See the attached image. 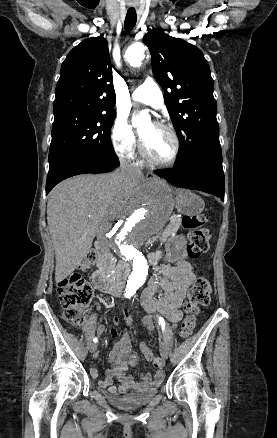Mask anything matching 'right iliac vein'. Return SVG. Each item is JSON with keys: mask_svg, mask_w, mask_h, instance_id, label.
Masks as SVG:
<instances>
[{"mask_svg": "<svg viewBox=\"0 0 277 438\" xmlns=\"http://www.w3.org/2000/svg\"><path fill=\"white\" fill-rule=\"evenodd\" d=\"M97 350V344L96 343H92L90 345V352L94 353Z\"/></svg>", "mask_w": 277, "mask_h": 438, "instance_id": "right-iliac-vein-1", "label": "right iliac vein"}]
</instances>
